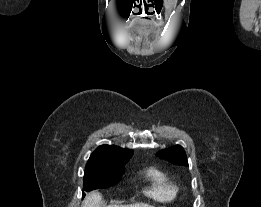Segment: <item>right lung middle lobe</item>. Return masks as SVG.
<instances>
[{"instance_id":"dd1d6c3e","label":"right lung middle lobe","mask_w":261,"mask_h":207,"mask_svg":"<svg viewBox=\"0 0 261 207\" xmlns=\"http://www.w3.org/2000/svg\"><path fill=\"white\" fill-rule=\"evenodd\" d=\"M129 159H121L111 165L86 166L83 189L89 192L96 189H105L116 184L121 180L125 171L124 165ZM83 196H85L84 192Z\"/></svg>"}]
</instances>
